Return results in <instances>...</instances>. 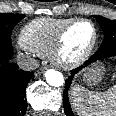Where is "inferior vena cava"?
Masks as SVG:
<instances>
[{
    "mask_svg": "<svg viewBox=\"0 0 116 116\" xmlns=\"http://www.w3.org/2000/svg\"><path fill=\"white\" fill-rule=\"evenodd\" d=\"M17 64L23 70H35L39 66V63L29 56H19Z\"/></svg>",
    "mask_w": 116,
    "mask_h": 116,
    "instance_id": "inferior-vena-cava-1",
    "label": "inferior vena cava"
}]
</instances>
